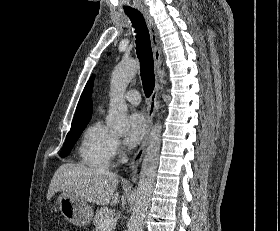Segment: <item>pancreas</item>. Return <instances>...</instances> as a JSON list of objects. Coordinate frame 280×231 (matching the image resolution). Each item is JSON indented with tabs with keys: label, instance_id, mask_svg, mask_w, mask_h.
Segmentation results:
<instances>
[{
	"label": "pancreas",
	"instance_id": "pancreas-1",
	"mask_svg": "<svg viewBox=\"0 0 280 231\" xmlns=\"http://www.w3.org/2000/svg\"><path fill=\"white\" fill-rule=\"evenodd\" d=\"M115 215V211L112 209H108V207H99L96 211V215H94V223L97 231H102V223H104L105 219H111Z\"/></svg>",
	"mask_w": 280,
	"mask_h": 231
}]
</instances>
